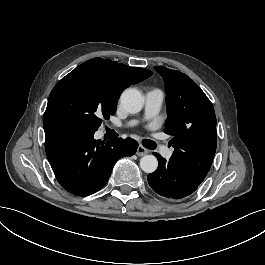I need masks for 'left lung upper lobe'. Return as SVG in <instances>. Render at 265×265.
<instances>
[{"instance_id":"obj_1","label":"left lung upper lobe","mask_w":265,"mask_h":265,"mask_svg":"<svg viewBox=\"0 0 265 265\" xmlns=\"http://www.w3.org/2000/svg\"><path fill=\"white\" fill-rule=\"evenodd\" d=\"M163 77L168 118L165 133L173 138L170 161L203 181L217 147L216 116L205 93L187 75L163 66L154 67Z\"/></svg>"}]
</instances>
